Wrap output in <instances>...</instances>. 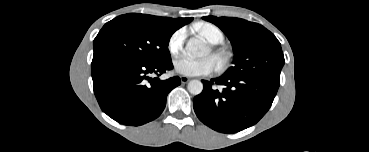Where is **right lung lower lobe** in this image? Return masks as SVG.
Listing matches in <instances>:
<instances>
[{
    "mask_svg": "<svg viewBox=\"0 0 369 152\" xmlns=\"http://www.w3.org/2000/svg\"><path fill=\"white\" fill-rule=\"evenodd\" d=\"M171 59L158 63L116 60L92 68L94 93L108 116L115 121L139 126L156 119L166 106L168 93L180 85L178 76L167 80L160 76L171 70Z\"/></svg>",
    "mask_w": 369,
    "mask_h": 152,
    "instance_id": "right-lung-lower-lobe-1",
    "label": "right lung lower lobe"
}]
</instances>
